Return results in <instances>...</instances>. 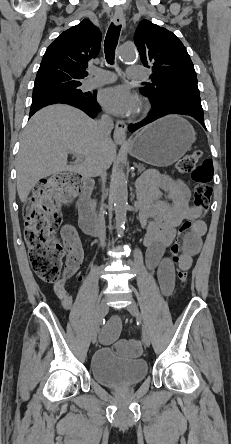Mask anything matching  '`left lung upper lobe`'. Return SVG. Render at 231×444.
Masks as SVG:
<instances>
[{
	"label": "left lung upper lobe",
	"mask_w": 231,
	"mask_h": 444,
	"mask_svg": "<svg viewBox=\"0 0 231 444\" xmlns=\"http://www.w3.org/2000/svg\"><path fill=\"white\" fill-rule=\"evenodd\" d=\"M134 42L143 65L152 68L153 83L141 88L155 108L178 105L202 109L194 65L179 38L148 20L139 23Z\"/></svg>",
	"instance_id": "left-lung-upper-lobe-1"
}]
</instances>
